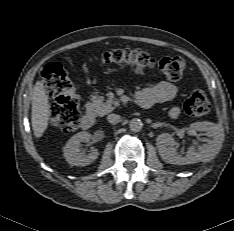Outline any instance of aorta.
Masks as SVG:
<instances>
[{
  "instance_id": "762f6f07",
  "label": "aorta",
  "mask_w": 234,
  "mask_h": 231,
  "mask_svg": "<svg viewBox=\"0 0 234 231\" xmlns=\"http://www.w3.org/2000/svg\"><path fill=\"white\" fill-rule=\"evenodd\" d=\"M129 128L132 132H139L143 128V123L140 119L134 118L130 121Z\"/></svg>"
}]
</instances>
